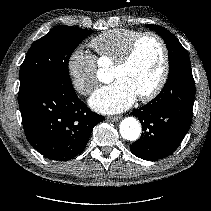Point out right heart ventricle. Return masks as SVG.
I'll list each match as a JSON object with an SVG mask.
<instances>
[{
    "label": "right heart ventricle",
    "instance_id": "e07e8e85",
    "mask_svg": "<svg viewBox=\"0 0 211 211\" xmlns=\"http://www.w3.org/2000/svg\"><path fill=\"white\" fill-rule=\"evenodd\" d=\"M140 33V31L133 29L108 30L94 37L90 46L96 51L100 59L115 63Z\"/></svg>",
    "mask_w": 211,
    "mask_h": 211
}]
</instances>
